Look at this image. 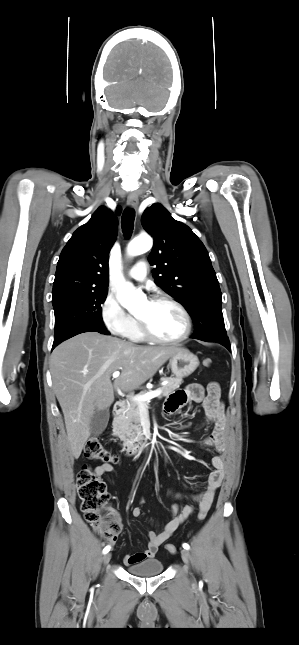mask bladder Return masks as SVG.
Returning a JSON list of instances; mask_svg holds the SVG:
<instances>
[{"mask_svg":"<svg viewBox=\"0 0 299 645\" xmlns=\"http://www.w3.org/2000/svg\"><path fill=\"white\" fill-rule=\"evenodd\" d=\"M163 563L156 558L148 559L127 567L130 574L135 576H154L163 571Z\"/></svg>","mask_w":299,"mask_h":645,"instance_id":"obj_1","label":"bladder"}]
</instances>
